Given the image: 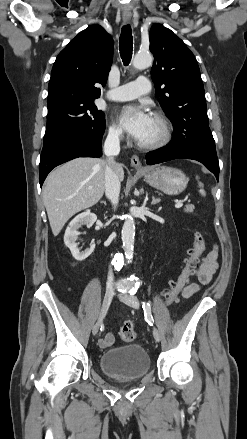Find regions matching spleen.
<instances>
[{"mask_svg":"<svg viewBox=\"0 0 247 439\" xmlns=\"http://www.w3.org/2000/svg\"><path fill=\"white\" fill-rule=\"evenodd\" d=\"M196 178H198V177H196ZM199 187H200L199 193H200L202 196H205L206 193H205V190L203 189V184H202L201 182H199Z\"/></svg>","mask_w":247,"mask_h":439,"instance_id":"1","label":"spleen"}]
</instances>
